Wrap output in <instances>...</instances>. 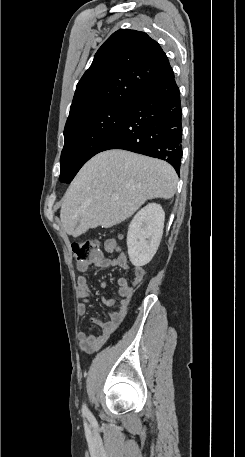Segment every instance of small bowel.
<instances>
[{
    "mask_svg": "<svg viewBox=\"0 0 245 457\" xmlns=\"http://www.w3.org/2000/svg\"><path fill=\"white\" fill-rule=\"evenodd\" d=\"M105 253H116L117 257L107 258ZM92 267H119L125 270H132L133 276L130 282L126 278L118 279V295L121 297L118 303H116L114 299L108 298L106 294L102 295V302L110 309V320L103 321L98 318H91L90 320L91 324H94L101 329V333L95 335L91 333L90 330H84L78 334L80 348L86 353H93L99 350L114 335L127 314L134 290L142 284L144 279V270L139 266L129 265L127 253L114 239H107L105 241L104 250H100L99 255L88 261L79 262L77 265L78 270L81 272H86ZM77 283L80 298L78 313L79 315H84L86 312V304L93 294L88 280L85 277L80 276ZM101 287L106 290L109 288V284L106 281H103Z\"/></svg>",
    "mask_w": 245,
    "mask_h": 457,
    "instance_id": "c3829d8e",
    "label": "small bowel"
}]
</instances>
